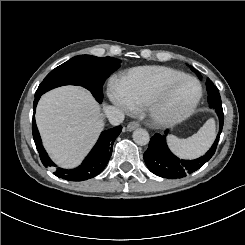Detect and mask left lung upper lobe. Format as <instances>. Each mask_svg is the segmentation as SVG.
<instances>
[{"instance_id":"1","label":"left lung upper lobe","mask_w":245,"mask_h":245,"mask_svg":"<svg viewBox=\"0 0 245 245\" xmlns=\"http://www.w3.org/2000/svg\"><path fill=\"white\" fill-rule=\"evenodd\" d=\"M190 68L197 74V76H198V74H200L197 70H195L192 66H190Z\"/></svg>"}]
</instances>
